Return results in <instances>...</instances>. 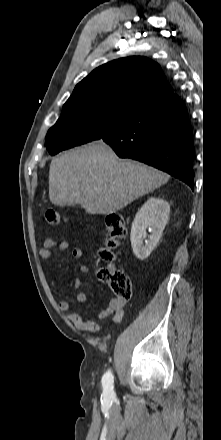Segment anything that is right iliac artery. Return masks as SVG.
Instances as JSON below:
<instances>
[{
	"label": "right iliac artery",
	"instance_id": "1",
	"mask_svg": "<svg viewBox=\"0 0 221 440\" xmlns=\"http://www.w3.org/2000/svg\"><path fill=\"white\" fill-rule=\"evenodd\" d=\"M113 381V375L111 371L108 370L102 378L103 394L106 398H111L114 396Z\"/></svg>",
	"mask_w": 221,
	"mask_h": 440
}]
</instances>
